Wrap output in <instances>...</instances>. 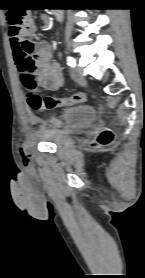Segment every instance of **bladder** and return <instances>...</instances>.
I'll return each mask as SVG.
<instances>
[{
	"label": "bladder",
	"instance_id": "1",
	"mask_svg": "<svg viewBox=\"0 0 145 278\" xmlns=\"http://www.w3.org/2000/svg\"><path fill=\"white\" fill-rule=\"evenodd\" d=\"M95 119L96 112L89 106L66 107L54 121V126L42 131L41 138L52 145L61 146L73 135L90 127Z\"/></svg>",
	"mask_w": 145,
	"mask_h": 278
}]
</instances>
